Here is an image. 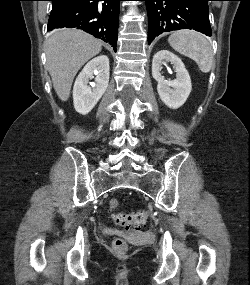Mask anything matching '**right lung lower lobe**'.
<instances>
[{
    "label": "right lung lower lobe",
    "instance_id": "98d812e1",
    "mask_svg": "<svg viewBox=\"0 0 250 285\" xmlns=\"http://www.w3.org/2000/svg\"><path fill=\"white\" fill-rule=\"evenodd\" d=\"M47 31L78 28L110 43L116 51L118 17L122 0H51Z\"/></svg>",
    "mask_w": 250,
    "mask_h": 285
}]
</instances>
